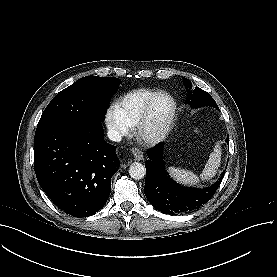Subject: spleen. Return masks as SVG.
<instances>
[{"mask_svg": "<svg viewBox=\"0 0 277 277\" xmlns=\"http://www.w3.org/2000/svg\"><path fill=\"white\" fill-rule=\"evenodd\" d=\"M221 162V148L219 145L214 147V151L210 154L209 159L203 169L200 179L208 180L212 178L220 166ZM169 174L177 181L185 185H195L199 183V177L191 171L184 170L181 168L169 167Z\"/></svg>", "mask_w": 277, "mask_h": 277, "instance_id": "spleen-1", "label": "spleen"}]
</instances>
